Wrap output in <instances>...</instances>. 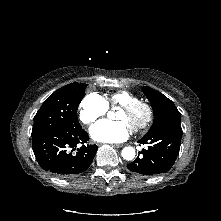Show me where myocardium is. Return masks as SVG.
I'll use <instances>...</instances> for the list:
<instances>
[{"label": "myocardium", "mask_w": 221, "mask_h": 221, "mask_svg": "<svg viewBox=\"0 0 221 221\" xmlns=\"http://www.w3.org/2000/svg\"><path fill=\"white\" fill-rule=\"evenodd\" d=\"M120 109L130 114L135 113L139 109L144 110V118L139 123L130 126L134 132H139L148 128L153 120V108L148 102L137 100L135 102L121 105Z\"/></svg>", "instance_id": "myocardium-1"}]
</instances>
